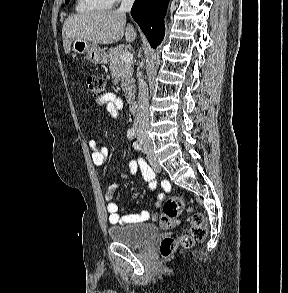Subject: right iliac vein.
Listing matches in <instances>:
<instances>
[{
    "mask_svg": "<svg viewBox=\"0 0 288 293\" xmlns=\"http://www.w3.org/2000/svg\"><path fill=\"white\" fill-rule=\"evenodd\" d=\"M144 145L146 146V149L149 152L148 155H149V157L151 159V162L154 163L155 165H157L156 158L152 154V146H151V144L149 142H146Z\"/></svg>",
    "mask_w": 288,
    "mask_h": 293,
    "instance_id": "obj_1",
    "label": "right iliac vein"
}]
</instances>
